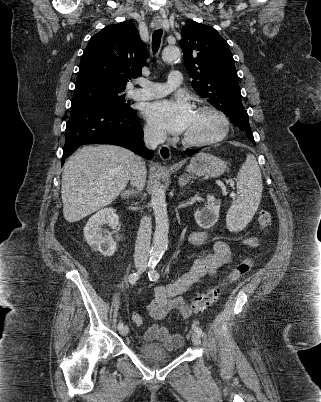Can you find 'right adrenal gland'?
Segmentation results:
<instances>
[{
    "instance_id": "obj_1",
    "label": "right adrenal gland",
    "mask_w": 321,
    "mask_h": 402,
    "mask_svg": "<svg viewBox=\"0 0 321 402\" xmlns=\"http://www.w3.org/2000/svg\"><path fill=\"white\" fill-rule=\"evenodd\" d=\"M121 196L123 197V198H129V197H135L136 196V192L133 190V189H128V190H124L122 193H121Z\"/></svg>"
}]
</instances>
